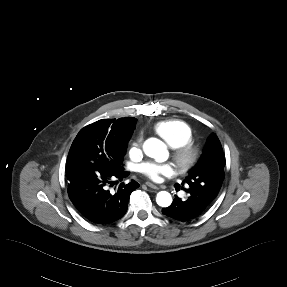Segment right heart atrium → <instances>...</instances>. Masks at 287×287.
<instances>
[{"instance_id": "1", "label": "right heart atrium", "mask_w": 287, "mask_h": 287, "mask_svg": "<svg viewBox=\"0 0 287 287\" xmlns=\"http://www.w3.org/2000/svg\"><path fill=\"white\" fill-rule=\"evenodd\" d=\"M129 153L133 157H137L141 153V139H136L135 141L132 142L130 146Z\"/></svg>"}]
</instances>
